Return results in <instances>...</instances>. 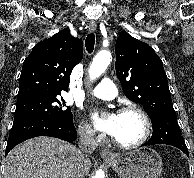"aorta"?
<instances>
[{
	"instance_id": "762f6f07",
	"label": "aorta",
	"mask_w": 194,
	"mask_h": 178,
	"mask_svg": "<svg viewBox=\"0 0 194 178\" xmlns=\"http://www.w3.org/2000/svg\"><path fill=\"white\" fill-rule=\"evenodd\" d=\"M111 61V53L107 50L100 51L93 59L92 64L89 68L90 79L94 80L99 77L106 70L107 66ZM93 178H104L102 171L96 172Z\"/></svg>"
}]
</instances>
